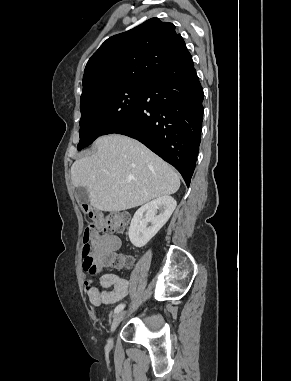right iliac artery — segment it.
Instances as JSON below:
<instances>
[{
	"label": "right iliac artery",
	"instance_id": "obj_1",
	"mask_svg": "<svg viewBox=\"0 0 291 381\" xmlns=\"http://www.w3.org/2000/svg\"><path fill=\"white\" fill-rule=\"evenodd\" d=\"M124 307H125V304H119V305L115 308L114 313H118V312H120Z\"/></svg>",
	"mask_w": 291,
	"mask_h": 381
}]
</instances>
